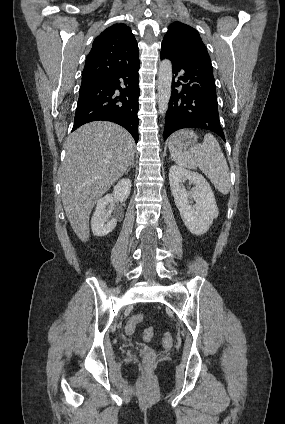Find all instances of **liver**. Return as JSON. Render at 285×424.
Wrapping results in <instances>:
<instances>
[{"instance_id":"obj_1","label":"liver","mask_w":285,"mask_h":424,"mask_svg":"<svg viewBox=\"0 0 285 424\" xmlns=\"http://www.w3.org/2000/svg\"><path fill=\"white\" fill-rule=\"evenodd\" d=\"M134 141L123 127L94 121L65 142L61 168L62 203L78 238L89 239V217L95 203L121 178L134 158Z\"/></svg>"}]
</instances>
